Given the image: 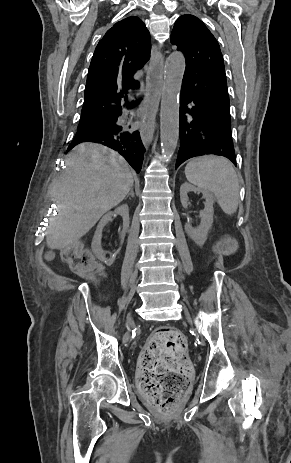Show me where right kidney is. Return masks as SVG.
Listing matches in <instances>:
<instances>
[{"label": "right kidney", "instance_id": "obj_1", "mask_svg": "<svg viewBox=\"0 0 291 463\" xmlns=\"http://www.w3.org/2000/svg\"><path fill=\"white\" fill-rule=\"evenodd\" d=\"M120 215L123 219V228L122 231L120 232V239L121 243L124 241V237L128 231L129 228V208L127 204H123L119 207H117L113 212H108L105 214L102 219L100 220L97 229L95 231L93 241H92V250L97 256L98 259L100 260H106L104 251L101 247V239H102V231L103 228L112 220L113 216Z\"/></svg>", "mask_w": 291, "mask_h": 463}]
</instances>
